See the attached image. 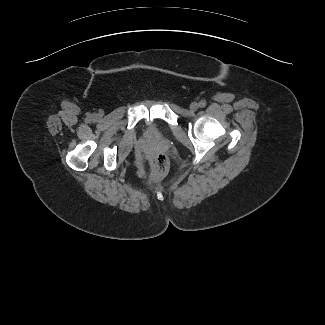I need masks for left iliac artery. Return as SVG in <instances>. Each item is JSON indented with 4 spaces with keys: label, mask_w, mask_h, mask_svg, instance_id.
Returning a JSON list of instances; mask_svg holds the SVG:
<instances>
[{
    "label": "left iliac artery",
    "mask_w": 325,
    "mask_h": 325,
    "mask_svg": "<svg viewBox=\"0 0 325 325\" xmlns=\"http://www.w3.org/2000/svg\"><path fill=\"white\" fill-rule=\"evenodd\" d=\"M206 104H207V103H206L205 100H201V101L199 102V106L202 107V108L205 107Z\"/></svg>",
    "instance_id": "obj_1"
}]
</instances>
